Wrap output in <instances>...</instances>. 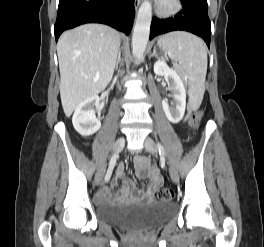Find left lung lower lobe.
<instances>
[{
  "label": "left lung lower lobe",
  "instance_id": "left-lung-lower-lobe-1",
  "mask_svg": "<svg viewBox=\"0 0 264 247\" xmlns=\"http://www.w3.org/2000/svg\"><path fill=\"white\" fill-rule=\"evenodd\" d=\"M183 9L172 18L153 17L150 39L170 31L183 30L196 34L210 46L211 24L207 12V0H181Z\"/></svg>",
  "mask_w": 264,
  "mask_h": 247
}]
</instances>
